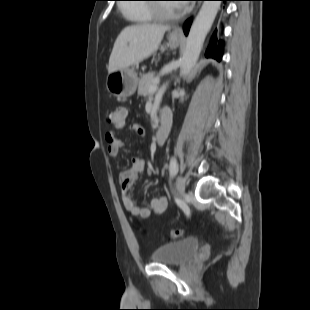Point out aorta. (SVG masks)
<instances>
[{
	"label": "aorta",
	"instance_id": "1",
	"mask_svg": "<svg viewBox=\"0 0 310 310\" xmlns=\"http://www.w3.org/2000/svg\"><path fill=\"white\" fill-rule=\"evenodd\" d=\"M220 4V1L203 2L187 38L180 67L181 75L188 74L198 60L204 40L214 22Z\"/></svg>",
	"mask_w": 310,
	"mask_h": 310
}]
</instances>
